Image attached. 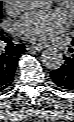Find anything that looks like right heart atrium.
Listing matches in <instances>:
<instances>
[{
    "instance_id": "1",
    "label": "right heart atrium",
    "mask_w": 74,
    "mask_h": 122,
    "mask_svg": "<svg viewBox=\"0 0 74 122\" xmlns=\"http://www.w3.org/2000/svg\"><path fill=\"white\" fill-rule=\"evenodd\" d=\"M8 12H12L19 7L20 1H3Z\"/></svg>"
}]
</instances>
